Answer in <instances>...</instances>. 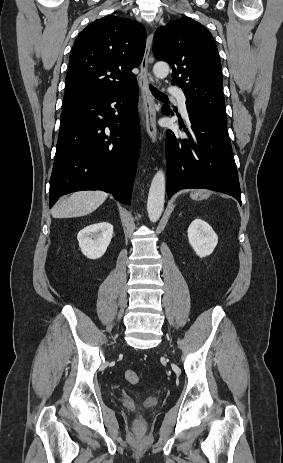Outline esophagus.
Segmentation results:
<instances>
[{"instance_id":"esophagus-1","label":"esophagus","mask_w":283,"mask_h":463,"mask_svg":"<svg viewBox=\"0 0 283 463\" xmlns=\"http://www.w3.org/2000/svg\"><path fill=\"white\" fill-rule=\"evenodd\" d=\"M153 41V35L149 34L146 40V48L143 60L140 65V88L143 97L144 111L146 116V131L151 138L152 142L157 140V127H156V112L157 104L154 100V97L150 91V73H149V63H150V50Z\"/></svg>"}]
</instances>
